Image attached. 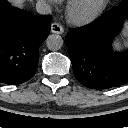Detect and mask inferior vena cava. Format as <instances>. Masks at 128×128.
Wrapping results in <instances>:
<instances>
[{
	"label": "inferior vena cava",
	"instance_id": "1",
	"mask_svg": "<svg viewBox=\"0 0 128 128\" xmlns=\"http://www.w3.org/2000/svg\"><path fill=\"white\" fill-rule=\"evenodd\" d=\"M36 10L39 14L47 15L51 13V6L44 0H39L36 3Z\"/></svg>",
	"mask_w": 128,
	"mask_h": 128
}]
</instances>
